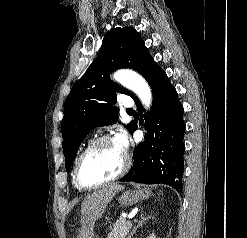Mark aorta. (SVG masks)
<instances>
[{
    "label": "aorta",
    "mask_w": 247,
    "mask_h": 238,
    "mask_svg": "<svg viewBox=\"0 0 247 238\" xmlns=\"http://www.w3.org/2000/svg\"><path fill=\"white\" fill-rule=\"evenodd\" d=\"M114 79L124 87L132 90L141 100L145 108L152 102V93L145 79L136 72L121 70L114 74Z\"/></svg>",
    "instance_id": "obj_1"
}]
</instances>
